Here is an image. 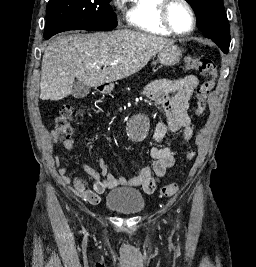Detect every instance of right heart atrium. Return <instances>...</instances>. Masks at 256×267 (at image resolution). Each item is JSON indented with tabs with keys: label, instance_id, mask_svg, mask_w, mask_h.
<instances>
[{
	"label": "right heart atrium",
	"instance_id": "1",
	"mask_svg": "<svg viewBox=\"0 0 256 267\" xmlns=\"http://www.w3.org/2000/svg\"><path fill=\"white\" fill-rule=\"evenodd\" d=\"M124 20L127 21V22H131V17H130V15H129V14H126V15L124 16Z\"/></svg>",
	"mask_w": 256,
	"mask_h": 267
}]
</instances>
